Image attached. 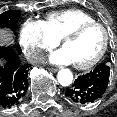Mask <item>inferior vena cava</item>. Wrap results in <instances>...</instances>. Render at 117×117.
Wrapping results in <instances>:
<instances>
[{
	"label": "inferior vena cava",
	"instance_id": "1",
	"mask_svg": "<svg viewBox=\"0 0 117 117\" xmlns=\"http://www.w3.org/2000/svg\"><path fill=\"white\" fill-rule=\"evenodd\" d=\"M28 60L30 63H42L45 61V56L43 53L40 52H33L29 57Z\"/></svg>",
	"mask_w": 117,
	"mask_h": 117
}]
</instances>
